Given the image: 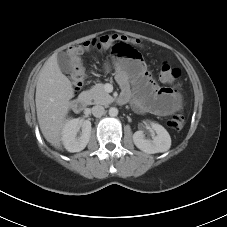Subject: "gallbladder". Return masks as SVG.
<instances>
[{
	"label": "gallbladder",
	"instance_id": "obj_1",
	"mask_svg": "<svg viewBox=\"0 0 227 227\" xmlns=\"http://www.w3.org/2000/svg\"><path fill=\"white\" fill-rule=\"evenodd\" d=\"M57 62L62 72L68 74L71 72V62L65 52L57 55Z\"/></svg>",
	"mask_w": 227,
	"mask_h": 227
}]
</instances>
